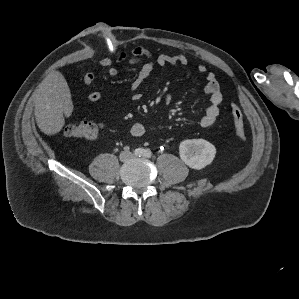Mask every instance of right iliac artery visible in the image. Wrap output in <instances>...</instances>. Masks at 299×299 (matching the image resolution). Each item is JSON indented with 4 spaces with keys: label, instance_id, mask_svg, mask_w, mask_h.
Wrapping results in <instances>:
<instances>
[{
    "label": "right iliac artery",
    "instance_id": "1",
    "mask_svg": "<svg viewBox=\"0 0 299 299\" xmlns=\"http://www.w3.org/2000/svg\"><path fill=\"white\" fill-rule=\"evenodd\" d=\"M142 154H143V150L140 148H138L134 151V155H136V156L140 157Z\"/></svg>",
    "mask_w": 299,
    "mask_h": 299
}]
</instances>
